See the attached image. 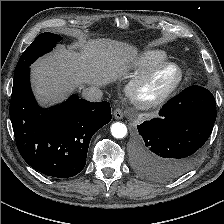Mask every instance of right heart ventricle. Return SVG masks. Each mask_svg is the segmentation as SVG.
Segmentation results:
<instances>
[{
	"label": "right heart ventricle",
	"mask_w": 224,
	"mask_h": 224,
	"mask_svg": "<svg viewBox=\"0 0 224 224\" xmlns=\"http://www.w3.org/2000/svg\"><path fill=\"white\" fill-rule=\"evenodd\" d=\"M168 59L167 54L162 50L150 49L144 51L140 56L137 58L134 71L135 73H143L150 67L164 62Z\"/></svg>",
	"instance_id": "e07e8e85"
}]
</instances>
